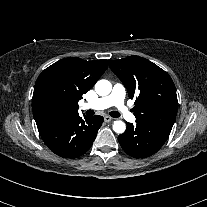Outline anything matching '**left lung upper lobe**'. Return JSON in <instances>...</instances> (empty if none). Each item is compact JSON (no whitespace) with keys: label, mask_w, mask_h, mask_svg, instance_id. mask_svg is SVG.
I'll list each match as a JSON object with an SVG mask.
<instances>
[{"label":"left lung upper lobe","mask_w":207,"mask_h":207,"mask_svg":"<svg viewBox=\"0 0 207 207\" xmlns=\"http://www.w3.org/2000/svg\"><path fill=\"white\" fill-rule=\"evenodd\" d=\"M109 66L127 88L129 98L136 99V122L172 129L178 102L171 77L139 56L111 60Z\"/></svg>","instance_id":"1"}]
</instances>
